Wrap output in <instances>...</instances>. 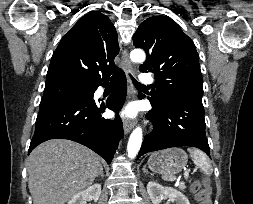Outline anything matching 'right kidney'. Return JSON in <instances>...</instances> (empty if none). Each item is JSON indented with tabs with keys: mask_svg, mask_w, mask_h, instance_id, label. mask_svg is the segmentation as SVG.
Returning a JSON list of instances; mask_svg holds the SVG:
<instances>
[{
	"mask_svg": "<svg viewBox=\"0 0 253 204\" xmlns=\"http://www.w3.org/2000/svg\"><path fill=\"white\" fill-rule=\"evenodd\" d=\"M101 194V185L96 183L84 191H81L74 195L68 204H86V201L93 200L97 202Z\"/></svg>",
	"mask_w": 253,
	"mask_h": 204,
	"instance_id": "ca27d5eb",
	"label": "right kidney"
}]
</instances>
